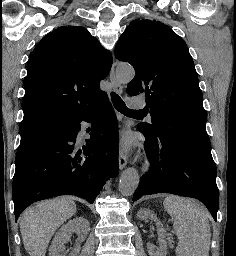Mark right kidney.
Listing matches in <instances>:
<instances>
[{
  "mask_svg": "<svg viewBox=\"0 0 236 256\" xmlns=\"http://www.w3.org/2000/svg\"><path fill=\"white\" fill-rule=\"evenodd\" d=\"M71 232H76L78 242H83L90 232L88 220H85V218H74V220H69L68 224L62 226L49 248V256H65L64 244L69 242ZM79 252L80 246L76 244L73 252L69 256H79Z\"/></svg>",
  "mask_w": 236,
  "mask_h": 256,
  "instance_id": "obj_1",
  "label": "right kidney"
}]
</instances>
